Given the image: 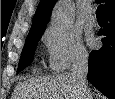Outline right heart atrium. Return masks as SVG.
<instances>
[{"label": "right heart atrium", "mask_w": 115, "mask_h": 99, "mask_svg": "<svg viewBox=\"0 0 115 99\" xmlns=\"http://www.w3.org/2000/svg\"><path fill=\"white\" fill-rule=\"evenodd\" d=\"M42 42L52 71H64L87 59V51L79 35L74 32L48 27L42 35Z\"/></svg>", "instance_id": "right-heart-atrium-1"}]
</instances>
